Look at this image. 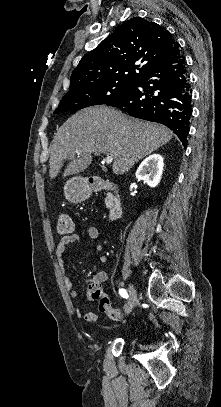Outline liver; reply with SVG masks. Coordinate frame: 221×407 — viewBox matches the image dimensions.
Wrapping results in <instances>:
<instances>
[{"mask_svg":"<svg viewBox=\"0 0 221 407\" xmlns=\"http://www.w3.org/2000/svg\"><path fill=\"white\" fill-rule=\"evenodd\" d=\"M167 127L131 118L107 106L78 111L57 130L50 146L49 177L83 172L92 162V154L113 157L112 171L122 175L153 151L172 139ZM77 155V157H75Z\"/></svg>","mask_w":221,"mask_h":407,"instance_id":"liver-1","label":"liver"}]
</instances>
